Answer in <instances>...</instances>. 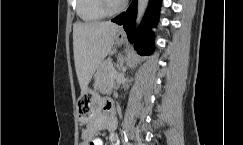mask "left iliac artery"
Segmentation results:
<instances>
[{
    "label": "left iliac artery",
    "mask_w": 243,
    "mask_h": 145,
    "mask_svg": "<svg viewBox=\"0 0 243 145\" xmlns=\"http://www.w3.org/2000/svg\"><path fill=\"white\" fill-rule=\"evenodd\" d=\"M125 143H126L125 145H132V144L128 143L126 136H125Z\"/></svg>",
    "instance_id": "44dca946"
}]
</instances>
